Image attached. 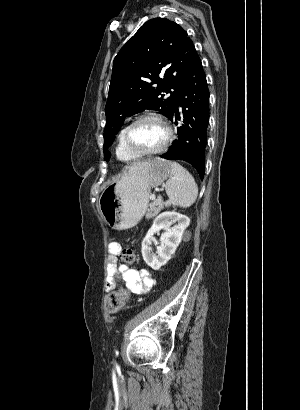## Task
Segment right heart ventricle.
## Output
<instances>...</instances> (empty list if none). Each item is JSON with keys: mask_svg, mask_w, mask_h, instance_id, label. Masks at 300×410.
Listing matches in <instances>:
<instances>
[{"mask_svg": "<svg viewBox=\"0 0 300 410\" xmlns=\"http://www.w3.org/2000/svg\"><path fill=\"white\" fill-rule=\"evenodd\" d=\"M126 126L123 127L118 136H117V144H116V156L119 160L123 162H130L139 158V156L132 153L124 144L123 141V134Z\"/></svg>", "mask_w": 300, "mask_h": 410, "instance_id": "obj_1", "label": "right heart ventricle"}]
</instances>
